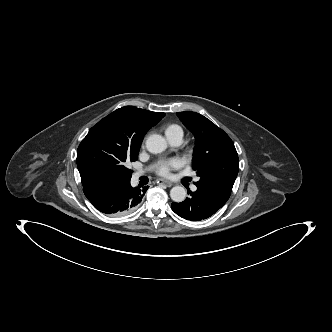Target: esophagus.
I'll return each instance as SVG.
<instances>
[{
	"mask_svg": "<svg viewBox=\"0 0 332 332\" xmlns=\"http://www.w3.org/2000/svg\"><path fill=\"white\" fill-rule=\"evenodd\" d=\"M157 183L163 184V185H165L167 187H171L173 185L170 181L165 180V179H158Z\"/></svg>",
	"mask_w": 332,
	"mask_h": 332,
	"instance_id": "obj_1",
	"label": "esophagus"
}]
</instances>
